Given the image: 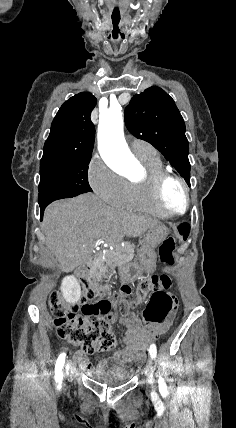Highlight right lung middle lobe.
Returning <instances> with one entry per match:
<instances>
[{"label": "right lung middle lobe", "instance_id": "dd1d6c3e", "mask_svg": "<svg viewBox=\"0 0 236 428\" xmlns=\"http://www.w3.org/2000/svg\"><path fill=\"white\" fill-rule=\"evenodd\" d=\"M91 156H43L40 161L39 205L92 192L87 172Z\"/></svg>", "mask_w": 236, "mask_h": 428}]
</instances>
